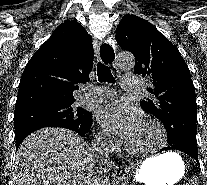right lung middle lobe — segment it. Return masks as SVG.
<instances>
[{
  "label": "right lung middle lobe",
  "instance_id": "obj_1",
  "mask_svg": "<svg viewBox=\"0 0 207 185\" xmlns=\"http://www.w3.org/2000/svg\"><path fill=\"white\" fill-rule=\"evenodd\" d=\"M91 123V112L72 105L44 104L14 112L15 138L44 127L82 128Z\"/></svg>",
  "mask_w": 207,
  "mask_h": 185
}]
</instances>
